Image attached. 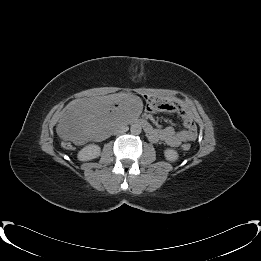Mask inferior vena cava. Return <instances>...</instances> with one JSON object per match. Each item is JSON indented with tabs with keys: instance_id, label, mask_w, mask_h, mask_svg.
<instances>
[{
	"instance_id": "inferior-vena-cava-1",
	"label": "inferior vena cava",
	"mask_w": 261,
	"mask_h": 261,
	"mask_svg": "<svg viewBox=\"0 0 261 261\" xmlns=\"http://www.w3.org/2000/svg\"><path fill=\"white\" fill-rule=\"evenodd\" d=\"M129 127L127 126V124H121L117 130H116V133H119V134H123L125 133L126 131H128Z\"/></svg>"
}]
</instances>
